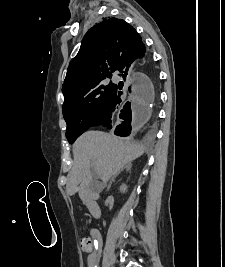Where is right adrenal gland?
Here are the masks:
<instances>
[{
  "label": "right adrenal gland",
  "mask_w": 225,
  "mask_h": 267,
  "mask_svg": "<svg viewBox=\"0 0 225 267\" xmlns=\"http://www.w3.org/2000/svg\"><path fill=\"white\" fill-rule=\"evenodd\" d=\"M123 170L130 171L131 170V164H127L121 171H123ZM121 171L112 177L111 181L109 182L108 189L111 187L112 182H114V179L121 173Z\"/></svg>",
  "instance_id": "right-adrenal-gland-1"
}]
</instances>
